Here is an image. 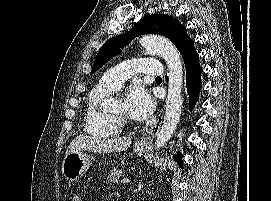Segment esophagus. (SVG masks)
I'll return each mask as SVG.
<instances>
[{"label": "esophagus", "mask_w": 271, "mask_h": 201, "mask_svg": "<svg viewBox=\"0 0 271 201\" xmlns=\"http://www.w3.org/2000/svg\"><path fill=\"white\" fill-rule=\"evenodd\" d=\"M163 121V109H160L158 118L151 129L136 140L137 146H148L159 133Z\"/></svg>", "instance_id": "34e87169"}]
</instances>
